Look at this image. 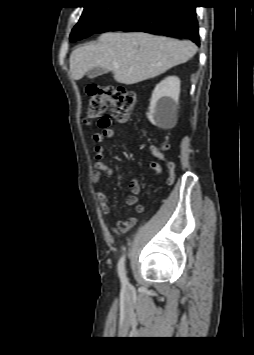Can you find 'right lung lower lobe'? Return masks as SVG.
Segmentation results:
<instances>
[{"mask_svg": "<svg viewBox=\"0 0 254 355\" xmlns=\"http://www.w3.org/2000/svg\"><path fill=\"white\" fill-rule=\"evenodd\" d=\"M112 30L187 38L199 45L195 6L190 0H131L122 3L95 33ZM74 41L77 39L71 42Z\"/></svg>", "mask_w": 254, "mask_h": 355, "instance_id": "1", "label": "right lung lower lobe"}]
</instances>
